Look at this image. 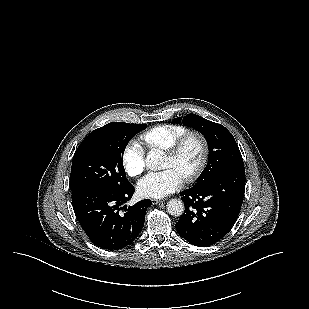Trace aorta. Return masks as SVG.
I'll list each match as a JSON object with an SVG mask.
<instances>
[{"label":"aorta","instance_id":"762f6f07","mask_svg":"<svg viewBox=\"0 0 309 309\" xmlns=\"http://www.w3.org/2000/svg\"><path fill=\"white\" fill-rule=\"evenodd\" d=\"M163 154L159 150L151 151L148 153L145 163L151 170L160 168ZM167 212L172 216H181L184 212V203L179 199H171L167 202Z\"/></svg>","mask_w":309,"mask_h":309}]
</instances>
